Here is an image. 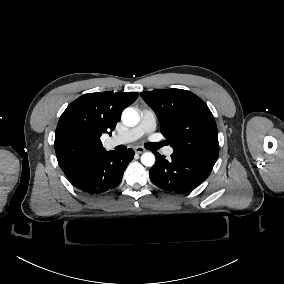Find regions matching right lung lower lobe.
<instances>
[{"label": "right lung lower lobe", "instance_id": "98d812e1", "mask_svg": "<svg viewBox=\"0 0 284 284\" xmlns=\"http://www.w3.org/2000/svg\"><path fill=\"white\" fill-rule=\"evenodd\" d=\"M134 151H108L101 157L68 176L76 188L91 195L102 194L117 187L123 177L124 170L133 159Z\"/></svg>", "mask_w": 284, "mask_h": 284}]
</instances>
